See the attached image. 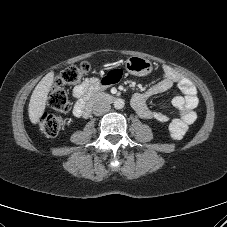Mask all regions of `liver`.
<instances>
[{"instance_id":"1","label":"liver","mask_w":227,"mask_h":227,"mask_svg":"<svg viewBox=\"0 0 227 227\" xmlns=\"http://www.w3.org/2000/svg\"><path fill=\"white\" fill-rule=\"evenodd\" d=\"M54 83V72L46 74L37 84L30 98L28 112L29 119L37 124L46 108L48 93Z\"/></svg>"}]
</instances>
